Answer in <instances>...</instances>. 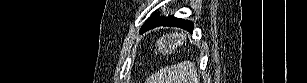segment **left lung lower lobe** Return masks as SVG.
<instances>
[{
    "instance_id": "0a47b994",
    "label": "left lung lower lobe",
    "mask_w": 307,
    "mask_h": 83,
    "mask_svg": "<svg viewBox=\"0 0 307 83\" xmlns=\"http://www.w3.org/2000/svg\"><path fill=\"white\" fill-rule=\"evenodd\" d=\"M161 25L177 26V27L183 28V29H185L189 32L193 31V23L191 21H185V20H182V19L175 18L174 16H168V17H165L164 19H162V20H160L156 23H152V24H149V25L142 27L140 32L142 33V32H145L149 29H152L154 27L161 26Z\"/></svg>"
}]
</instances>
